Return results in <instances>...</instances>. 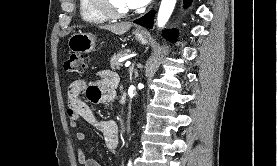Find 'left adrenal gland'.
Wrapping results in <instances>:
<instances>
[{
    "mask_svg": "<svg viewBox=\"0 0 277 166\" xmlns=\"http://www.w3.org/2000/svg\"><path fill=\"white\" fill-rule=\"evenodd\" d=\"M132 73H133V67L130 68V76L132 77Z\"/></svg>",
    "mask_w": 277,
    "mask_h": 166,
    "instance_id": "a2214340",
    "label": "left adrenal gland"
}]
</instances>
